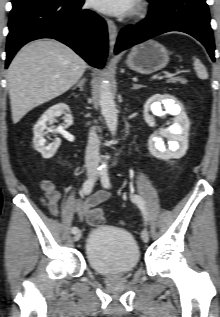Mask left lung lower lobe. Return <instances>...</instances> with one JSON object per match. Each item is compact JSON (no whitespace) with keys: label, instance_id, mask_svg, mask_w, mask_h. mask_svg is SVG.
<instances>
[{"label":"left lung lower lobe","instance_id":"1","mask_svg":"<svg viewBox=\"0 0 220 317\" xmlns=\"http://www.w3.org/2000/svg\"><path fill=\"white\" fill-rule=\"evenodd\" d=\"M148 1L151 3V9L147 18L134 28L122 29L115 53L165 32L181 31L199 40L215 61V46L206 0Z\"/></svg>","mask_w":220,"mask_h":317}]
</instances>
